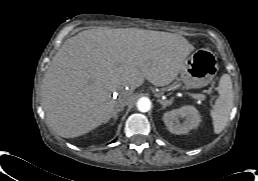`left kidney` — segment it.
Returning a JSON list of instances; mask_svg holds the SVG:
<instances>
[{
  "label": "left kidney",
  "mask_w": 258,
  "mask_h": 181,
  "mask_svg": "<svg viewBox=\"0 0 258 181\" xmlns=\"http://www.w3.org/2000/svg\"><path fill=\"white\" fill-rule=\"evenodd\" d=\"M180 119H183V122H180ZM163 121L171 133L187 134L199 126L201 116L194 106L187 105L164 113Z\"/></svg>",
  "instance_id": "1"
}]
</instances>
